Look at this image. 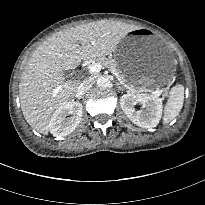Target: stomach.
<instances>
[{
    "mask_svg": "<svg viewBox=\"0 0 205 205\" xmlns=\"http://www.w3.org/2000/svg\"><path fill=\"white\" fill-rule=\"evenodd\" d=\"M113 54L121 75L135 86L161 85L175 70L173 54L148 28L129 32Z\"/></svg>",
    "mask_w": 205,
    "mask_h": 205,
    "instance_id": "0dacf381",
    "label": "stomach"
}]
</instances>
